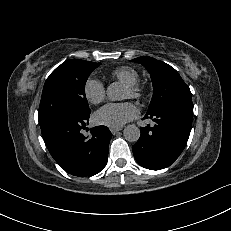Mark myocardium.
Returning <instances> with one entry per match:
<instances>
[{
  "label": "myocardium",
  "mask_w": 231,
  "mask_h": 231,
  "mask_svg": "<svg viewBox=\"0 0 231 231\" xmlns=\"http://www.w3.org/2000/svg\"><path fill=\"white\" fill-rule=\"evenodd\" d=\"M126 88L129 90L132 99H140L143 96L144 89L138 82L127 84Z\"/></svg>",
  "instance_id": "obj_1"
}]
</instances>
